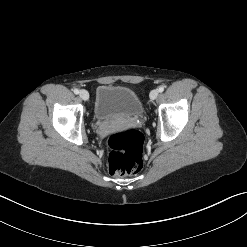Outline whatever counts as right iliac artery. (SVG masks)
<instances>
[{"label": "right iliac artery", "instance_id": "1", "mask_svg": "<svg viewBox=\"0 0 247 247\" xmlns=\"http://www.w3.org/2000/svg\"><path fill=\"white\" fill-rule=\"evenodd\" d=\"M73 92H74L75 94H79V90H78V89H74Z\"/></svg>", "mask_w": 247, "mask_h": 247}]
</instances>
